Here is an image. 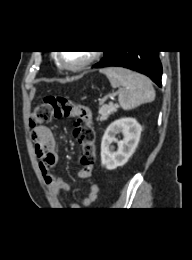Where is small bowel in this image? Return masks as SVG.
Masks as SVG:
<instances>
[{
    "label": "small bowel",
    "mask_w": 192,
    "mask_h": 260,
    "mask_svg": "<svg viewBox=\"0 0 192 260\" xmlns=\"http://www.w3.org/2000/svg\"><path fill=\"white\" fill-rule=\"evenodd\" d=\"M90 120L92 122V116L90 112ZM31 139L35 145V150L39 158V169L42 173L45 183L47 184L50 193L55 199L58 207H63L64 203L61 200V192H69L70 185L62 178L56 176L53 172V168L59 161V151L56 145L55 137L52 131L46 126H39L32 130ZM93 166H83L79 172L78 177L81 179L89 178L92 175ZM99 193V187L97 184H92L88 193L83 197L81 204L87 208L91 206L97 199ZM80 206L76 202H71L69 208L76 210Z\"/></svg>",
    "instance_id": "c3829d8e"
}]
</instances>
